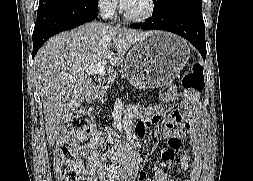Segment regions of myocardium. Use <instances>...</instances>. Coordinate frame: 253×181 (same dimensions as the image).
<instances>
[{
  "label": "myocardium",
  "mask_w": 253,
  "mask_h": 181,
  "mask_svg": "<svg viewBox=\"0 0 253 181\" xmlns=\"http://www.w3.org/2000/svg\"><path fill=\"white\" fill-rule=\"evenodd\" d=\"M156 11V0H148V8L145 13L141 15H134L124 10V17L128 21L134 23H144L149 21L155 14Z\"/></svg>",
  "instance_id": "f54148a6"
}]
</instances>
